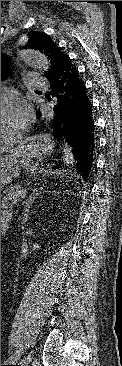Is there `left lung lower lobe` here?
<instances>
[{"label": "left lung lower lobe", "mask_w": 122, "mask_h": 366, "mask_svg": "<svg viewBox=\"0 0 122 366\" xmlns=\"http://www.w3.org/2000/svg\"><path fill=\"white\" fill-rule=\"evenodd\" d=\"M47 78L51 91L46 94V98L50 100L54 97L57 102L51 120L54 134L58 138L62 133H67V141L70 140L77 160L76 171L86 180L96 148V128L87 89L69 56L63 57Z\"/></svg>", "instance_id": "1"}]
</instances>
